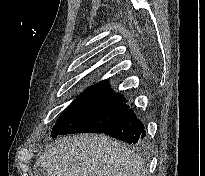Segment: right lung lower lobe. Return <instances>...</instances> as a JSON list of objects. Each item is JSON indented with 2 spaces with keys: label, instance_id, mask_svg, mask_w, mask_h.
Segmentation results:
<instances>
[{
  "label": "right lung lower lobe",
  "instance_id": "1",
  "mask_svg": "<svg viewBox=\"0 0 205 176\" xmlns=\"http://www.w3.org/2000/svg\"><path fill=\"white\" fill-rule=\"evenodd\" d=\"M103 133L129 144L141 143L146 135L143 123L129 107L123 117Z\"/></svg>",
  "mask_w": 205,
  "mask_h": 176
}]
</instances>
